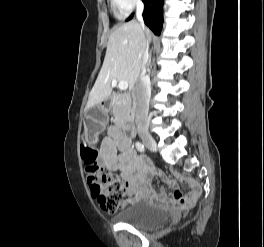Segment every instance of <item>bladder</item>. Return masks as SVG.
Instances as JSON below:
<instances>
[{
    "label": "bladder",
    "mask_w": 264,
    "mask_h": 247,
    "mask_svg": "<svg viewBox=\"0 0 264 247\" xmlns=\"http://www.w3.org/2000/svg\"><path fill=\"white\" fill-rule=\"evenodd\" d=\"M169 212L167 209L136 200L130 206L120 211L116 220L132 225L136 228L151 230L167 223Z\"/></svg>",
    "instance_id": "1"
}]
</instances>
